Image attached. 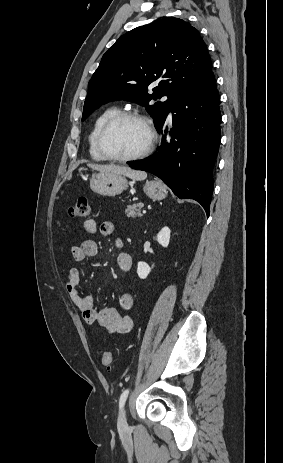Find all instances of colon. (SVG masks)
<instances>
[{
  "instance_id": "colon-1",
  "label": "colon",
  "mask_w": 283,
  "mask_h": 463,
  "mask_svg": "<svg viewBox=\"0 0 283 463\" xmlns=\"http://www.w3.org/2000/svg\"><path fill=\"white\" fill-rule=\"evenodd\" d=\"M69 216L77 219H86L90 216L91 205L86 198H79L70 208ZM102 364L106 368H111L113 364V353L111 351H105L102 354Z\"/></svg>"
}]
</instances>
